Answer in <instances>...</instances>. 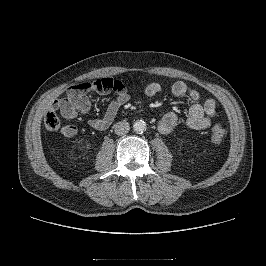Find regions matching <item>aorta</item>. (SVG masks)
Wrapping results in <instances>:
<instances>
[{
    "mask_svg": "<svg viewBox=\"0 0 266 266\" xmlns=\"http://www.w3.org/2000/svg\"><path fill=\"white\" fill-rule=\"evenodd\" d=\"M133 129L137 133H143L146 130V122L143 120H137L133 124Z\"/></svg>",
    "mask_w": 266,
    "mask_h": 266,
    "instance_id": "obj_1",
    "label": "aorta"
}]
</instances>
